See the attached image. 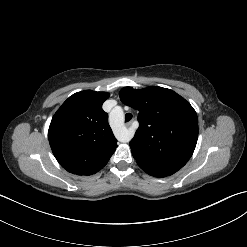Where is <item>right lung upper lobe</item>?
<instances>
[{
    "label": "right lung upper lobe",
    "instance_id": "cb5924a9",
    "mask_svg": "<svg viewBox=\"0 0 247 247\" xmlns=\"http://www.w3.org/2000/svg\"><path fill=\"white\" fill-rule=\"evenodd\" d=\"M106 92L85 90L70 96L52 118L48 139L54 156L68 172L92 175L102 169L117 148V140L102 109Z\"/></svg>",
    "mask_w": 247,
    "mask_h": 247
}]
</instances>
